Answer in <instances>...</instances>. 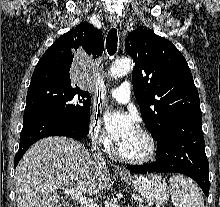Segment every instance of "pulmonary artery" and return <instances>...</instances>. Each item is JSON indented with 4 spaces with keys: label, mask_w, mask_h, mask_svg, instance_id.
I'll use <instances>...</instances> for the list:
<instances>
[{
    "label": "pulmonary artery",
    "mask_w": 220,
    "mask_h": 207,
    "mask_svg": "<svg viewBox=\"0 0 220 207\" xmlns=\"http://www.w3.org/2000/svg\"><path fill=\"white\" fill-rule=\"evenodd\" d=\"M110 96L119 103H127L130 100L131 85L128 81L109 91Z\"/></svg>",
    "instance_id": "e3ab8cb5"
}]
</instances>
